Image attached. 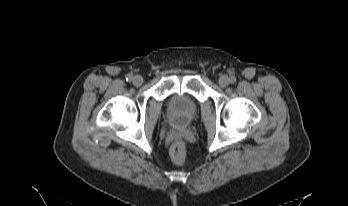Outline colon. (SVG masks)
<instances>
[{"instance_id": "5ec220e1", "label": "colon", "mask_w": 348, "mask_h": 206, "mask_svg": "<svg viewBox=\"0 0 348 206\" xmlns=\"http://www.w3.org/2000/svg\"><path fill=\"white\" fill-rule=\"evenodd\" d=\"M171 157L174 162L183 164L185 161V149L181 141H176L171 147Z\"/></svg>"}]
</instances>
